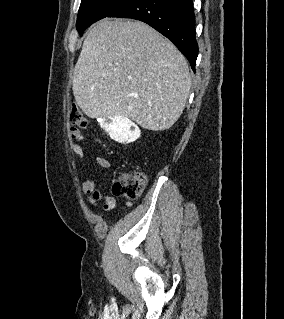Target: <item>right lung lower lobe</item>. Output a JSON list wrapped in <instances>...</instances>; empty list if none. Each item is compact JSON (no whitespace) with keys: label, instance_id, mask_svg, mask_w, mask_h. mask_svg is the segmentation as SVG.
Here are the masks:
<instances>
[{"label":"right lung lower lobe","instance_id":"right-lung-lower-lobe-1","mask_svg":"<svg viewBox=\"0 0 284 319\" xmlns=\"http://www.w3.org/2000/svg\"><path fill=\"white\" fill-rule=\"evenodd\" d=\"M108 17L132 18L149 24L176 45L195 72L198 44L192 0H130Z\"/></svg>","mask_w":284,"mask_h":319}]
</instances>
